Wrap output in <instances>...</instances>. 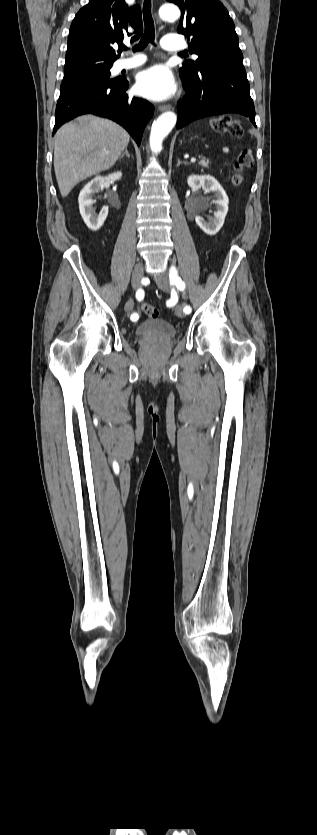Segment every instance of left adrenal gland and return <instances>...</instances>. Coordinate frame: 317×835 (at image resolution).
Returning a JSON list of instances; mask_svg holds the SVG:
<instances>
[{"label": "left adrenal gland", "instance_id": "obj_1", "mask_svg": "<svg viewBox=\"0 0 317 835\" xmlns=\"http://www.w3.org/2000/svg\"><path fill=\"white\" fill-rule=\"evenodd\" d=\"M180 164H182V162L178 159V160H177V165H176V166H177V167H179V166H180ZM183 164H188V165H189L190 163H189V162L184 161V162H183Z\"/></svg>", "mask_w": 317, "mask_h": 835}]
</instances>
